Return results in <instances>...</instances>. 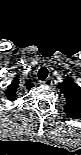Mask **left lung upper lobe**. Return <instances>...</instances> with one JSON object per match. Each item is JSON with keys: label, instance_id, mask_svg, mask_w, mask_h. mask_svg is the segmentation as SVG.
Segmentation results:
<instances>
[{"label": "left lung upper lobe", "instance_id": "obj_1", "mask_svg": "<svg viewBox=\"0 0 81 155\" xmlns=\"http://www.w3.org/2000/svg\"><path fill=\"white\" fill-rule=\"evenodd\" d=\"M58 88L65 97L64 112L67 116L74 119L81 118V87L70 78H66Z\"/></svg>", "mask_w": 81, "mask_h": 155}]
</instances>
